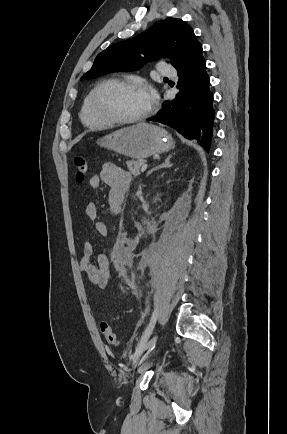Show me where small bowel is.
<instances>
[{
  "mask_svg": "<svg viewBox=\"0 0 287 434\" xmlns=\"http://www.w3.org/2000/svg\"><path fill=\"white\" fill-rule=\"evenodd\" d=\"M130 182L131 174L128 171L117 164L105 163L99 173L89 178L88 185L92 190H98L102 184L108 187L110 212L117 215L121 212ZM84 215L93 222L99 235H109L108 224L98 218V205L96 203H88L85 206ZM79 269L97 289L106 288L112 277L107 256L104 253L95 254V246L91 241H86L83 245Z\"/></svg>",
  "mask_w": 287,
  "mask_h": 434,
  "instance_id": "c3829d8e",
  "label": "small bowel"
}]
</instances>
